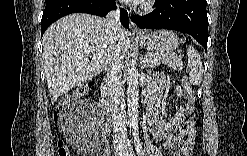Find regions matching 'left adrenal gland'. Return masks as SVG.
Masks as SVG:
<instances>
[{"instance_id":"left-adrenal-gland-1","label":"left adrenal gland","mask_w":247,"mask_h":156,"mask_svg":"<svg viewBox=\"0 0 247 156\" xmlns=\"http://www.w3.org/2000/svg\"><path fill=\"white\" fill-rule=\"evenodd\" d=\"M142 69H146V65L142 66Z\"/></svg>"}]
</instances>
